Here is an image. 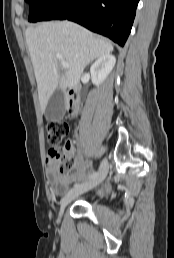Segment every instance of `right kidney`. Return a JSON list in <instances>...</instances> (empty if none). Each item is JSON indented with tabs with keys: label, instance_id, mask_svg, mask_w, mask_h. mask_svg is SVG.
Returning a JSON list of instances; mask_svg holds the SVG:
<instances>
[{
	"label": "right kidney",
	"instance_id": "1",
	"mask_svg": "<svg viewBox=\"0 0 174 258\" xmlns=\"http://www.w3.org/2000/svg\"><path fill=\"white\" fill-rule=\"evenodd\" d=\"M116 58L113 55L107 54L97 59L90 68L92 82L95 85H100L107 78L115 66Z\"/></svg>",
	"mask_w": 174,
	"mask_h": 258
}]
</instances>
